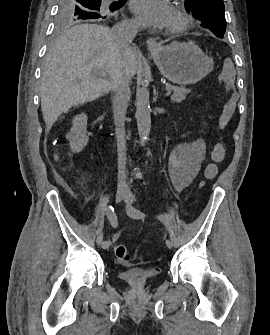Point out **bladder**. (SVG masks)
Listing matches in <instances>:
<instances>
[{
  "label": "bladder",
  "mask_w": 270,
  "mask_h": 335,
  "mask_svg": "<svg viewBox=\"0 0 270 335\" xmlns=\"http://www.w3.org/2000/svg\"><path fill=\"white\" fill-rule=\"evenodd\" d=\"M119 278L135 288H139L144 284L153 283L154 274L151 273L150 268H138L119 273Z\"/></svg>",
  "instance_id": "31cf9c89"
}]
</instances>
